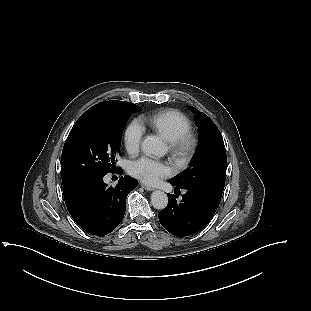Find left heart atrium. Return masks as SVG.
Returning a JSON list of instances; mask_svg holds the SVG:
<instances>
[{
    "label": "left heart atrium",
    "mask_w": 311,
    "mask_h": 311,
    "mask_svg": "<svg viewBox=\"0 0 311 311\" xmlns=\"http://www.w3.org/2000/svg\"><path fill=\"white\" fill-rule=\"evenodd\" d=\"M129 170L133 176L149 184L169 173L168 167L163 162L149 157H141L133 161Z\"/></svg>",
    "instance_id": "obj_1"
}]
</instances>
